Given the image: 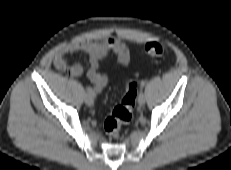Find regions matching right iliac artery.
<instances>
[{
	"label": "right iliac artery",
	"mask_w": 231,
	"mask_h": 170,
	"mask_svg": "<svg viewBox=\"0 0 231 170\" xmlns=\"http://www.w3.org/2000/svg\"><path fill=\"white\" fill-rule=\"evenodd\" d=\"M86 90H87L88 94L92 95L93 97L95 96V93H94V91L92 90L91 87H87Z\"/></svg>",
	"instance_id": "1"
}]
</instances>
